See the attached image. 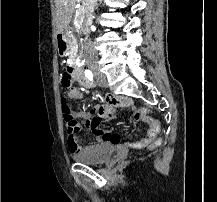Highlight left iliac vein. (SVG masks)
I'll list each match as a JSON object with an SVG mask.
<instances>
[{
	"instance_id": "1",
	"label": "left iliac vein",
	"mask_w": 217,
	"mask_h": 202,
	"mask_svg": "<svg viewBox=\"0 0 217 202\" xmlns=\"http://www.w3.org/2000/svg\"><path fill=\"white\" fill-rule=\"evenodd\" d=\"M106 84V82L103 80L102 76L98 77V85L103 87Z\"/></svg>"
}]
</instances>
